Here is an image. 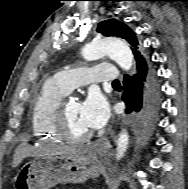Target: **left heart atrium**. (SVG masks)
Listing matches in <instances>:
<instances>
[{
	"mask_svg": "<svg viewBox=\"0 0 188 189\" xmlns=\"http://www.w3.org/2000/svg\"><path fill=\"white\" fill-rule=\"evenodd\" d=\"M81 117L89 129H99L106 124L109 118V105L99 91L89 92L81 104Z\"/></svg>",
	"mask_w": 188,
	"mask_h": 189,
	"instance_id": "39dd6f15",
	"label": "left heart atrium"
}]
</instances>
